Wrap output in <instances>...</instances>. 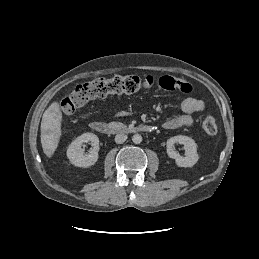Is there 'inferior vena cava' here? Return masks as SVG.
Instances as JSON below:
<instances>
[{
  "mask_svg": "<svg viewBox=\"0 0 259 259\" xmlns=\"http://www.w3.org/2000/svg\"><path fill=\"white\" fill-rule=\"evenodd\" d=\"M127 140V135L124 133H118L115 136V142L118 144L124 143Z\"/></svg>",
  "mask_w": 259,
  "mask_h": 259,
  "instance_id": "inferior-vena-cava-1",
  "label": "inferior vena cava"
}]
</instances>
